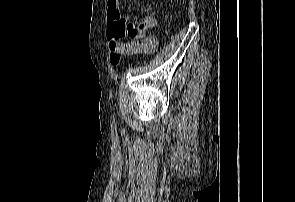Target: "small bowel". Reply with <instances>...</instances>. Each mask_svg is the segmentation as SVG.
I'll return each mask as SVG.
<instances>
[{
  "label": "small bowel",
  "instance_id": "c3829d8e",
  "mask_svg": "<svg viewBox=\"0 0 295 202\" xmlns=\"http://www.w3.org/2000/svg\"><path fill=\"white\" fill-rule=\"evenodd\" d=\"M121 0H107V18L110 23H114L118 21L121 16ZM150 17L145 22L147 28H151L155 25V19L153 16L155 15V11L150 13ZM145 45H150L151 48L149 50L143 51L145 54H152L156 51L158 47V39L153 36H147L144 41ZM138 46L135 44H125L121 47L112 49V53L110 55V61L112 65H117L120 62L121 56L128 53L139 52L136 51Z\"/></svg>",
  "mask_w": 295,
  "mask_h": 202
}]
</instances>
